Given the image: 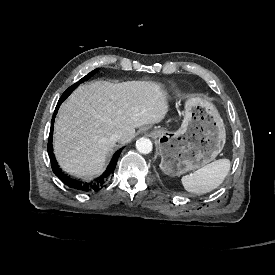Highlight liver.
Listing matches in <instances>:
<instances>
[{
	"instance_id": "1",
	"label": "liver",
	"mask_w": 275,
	"mask_h": 275,
	"mask_svg": "<svg viewBox=\"0 0 275 275\" xmlns=\"http://www.w3.org/2000/svg\"><path fill=\"white\" fill-rule=\"evenodd\" d=\"M170 110L167 96L151 82L80 86L65 102L55 123L54 149L71 175L88 180L104 170L106 152L115 145L111 134L121 131L128 143L135 128L162 122Z\"/></svg>"
}]
</instances>
